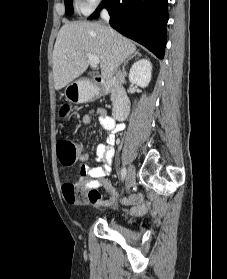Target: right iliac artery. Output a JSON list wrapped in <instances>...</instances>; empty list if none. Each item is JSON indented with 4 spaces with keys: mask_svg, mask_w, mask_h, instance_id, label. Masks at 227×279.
Returning <instances> with one entry per match:
<instances>
[{
    "mask_svg": "<svg viewBox=\"0 0 227 279\" xmlns=\"http://www.w3.org/2000/svg\"><path fill=\"white\" fill-rule=\"evenodd\" d=\"M126 177V169L125 168H122L121 169V178H122V181L125 179Z\"/></svg>",
    "mask_w": 227,
    "mask_h": 279,
    "instance_id": "obj_1",
    "label": "right iliac artery"
}]
</instances>
